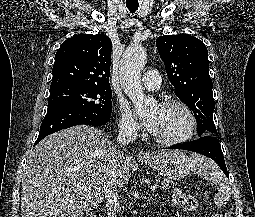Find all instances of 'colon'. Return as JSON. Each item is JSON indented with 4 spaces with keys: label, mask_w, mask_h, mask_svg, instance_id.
I'll return each instance as SVG.
<instances>
[{
    "label": "colon",
    "mask_w": 255,
    "mask_h": 217,
    "mask_svg": "<svg viewBox=\"0 0 255 217\" xmlns=\"http://www.w3.org/2000/svg\"><path fill=\"white\" fill-rule=\"evenodd\" d=\"M174 204L187 212H194L198 209L197 200L190 194L176 190L173 194Z\"/></svg>",
    "instance_id": "1"
}]
</instances>
